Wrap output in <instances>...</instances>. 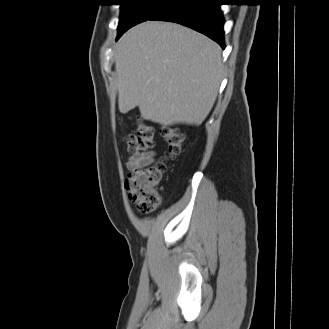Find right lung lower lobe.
I'll return each mask as SVG.
<instances>
[{
  "label": "right lung lower lobe",
  "instance_id": "1",
  "mask_svg": "<svg viewBox=\"0 0 329 329\" xmlns=\"http://www.w3.org/2000/svg\"><path fill=\"white\" fill-rule=\"evenodd\" d=\"M220 1L222 0H175L149 20L179 23L205 34L225 48Z\"/></svg>",
  "mask_w": 329,
  "mask_h": 329
}]
</instances>
